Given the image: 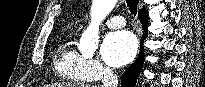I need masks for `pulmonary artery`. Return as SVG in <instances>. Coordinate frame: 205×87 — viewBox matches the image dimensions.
Listing matches in <instances>:
<instances>
[{"label": "pulmonary artery", "instance_id": "e3ab8cb5", "mask_svg": "<svg viewBox=\"0 0 205 87\" xmlns=\"http://www.w3.org/2000/svg\"><path fill=\"white\" fill-rule=\"evenodd\" d=\"M105 24L109 28H122L125 26L126 21L123 16L117 15V16H113L105 20ZM82 26L83 25H81L80 27Z\"/></svg>", "mask_w": 205, "mask_h": 87}]
</instances>
